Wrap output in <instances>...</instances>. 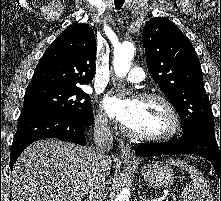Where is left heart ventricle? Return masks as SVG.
<instances>
[{"instance_id": "obj_1", "label": "left heart ventricle", "mask_w": 221, "mask_h": 201, "mask_svg": "<svg viewBox=\"0 0 221 201\" xmlns=\"http://www.w3.org/2000/svg\"><path fill=\"white\" fill-rule=\"evenodd\" d=\"M123 125L138 134L160 135L171 128V119L165 107L158 101L133 100L128 119Z\"/></svg>"}]
</instances>
